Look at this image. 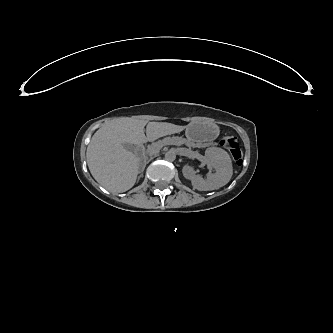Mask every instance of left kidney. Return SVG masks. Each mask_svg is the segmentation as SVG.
Here are the masks:
<instances>
[{
    "label": "left kidney",
    "instance_id": "1",
    "mask_svg": "<svg viewBox=\"0 0 333 333\" xmlns=\"http://www.w3.org/2000/svg\"><path fill=\"white\" fill-rule=\"evenodd\" d=\"M205 158L213 171L207 178L197 174L193 166L183 167L184 176L189 179L192 186L199 191H212L225 186L231 179L233 168L228 154L223 149H207Z\"/></svg>",
    "mask_w": 333,
    "mask_h": 333
}]
</instances>
